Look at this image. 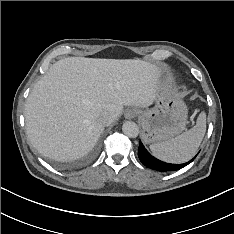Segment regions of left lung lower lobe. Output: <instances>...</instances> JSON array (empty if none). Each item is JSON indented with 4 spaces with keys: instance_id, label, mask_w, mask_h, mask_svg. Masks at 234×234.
Masks as SVG:
<instances>
[{
    "instance_id": "obj_1",
    "label": "left lung lower lobe",
    "mask_w": 234,
    "mask_h": 234,
    "mask_svg": "<svg viewBox=\"0 0 234 234\" xmlns=\"http://www.w3.org/2000/svg\"><path fill=\"white\" fill-rule=\"evenodd\" d=\"M138 157L140 161L148 168L157 170V171H174V170H179L189 163H191L192 160L189 162L183 163V164H169L163 161H160L153 157L152 155L149 154V152L145 149L143 144L140 142L139 147H138Z\"/></svg>"
}]
</instances>
